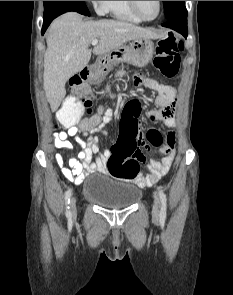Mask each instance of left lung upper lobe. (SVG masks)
<instances>
[{
	"label": "left lung upper lobe",
	"mask_w": 233,
	"mask_h": 295,
	"mask_svg": "<svg viewBox=\"0 0 233 295\" xmlns=\"http://www.w3.org/2000/svg\"><path fill=\"white\" fill-rule=\"evenodd\" d=\"M163 4L167 20L187 14L184 1H163Z\"/></svg>",
	"instance_id": "5c2ea615"
}]
</instances>
